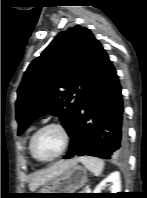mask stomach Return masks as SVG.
Wrapping results in <instances>:
<instances>
[{
  "label": "stomach",
  "mask_w": 147,
  "mask_h": 198,
  "mask_svg": "<svg viewBox=\"0 0 147 198\" xmlns=\"http://www.w3.org/2000/svg\"><path fill=\"white\" fill-rule=\"evenodd\" d=\"M87 183V170L79 165H74L62 174L46 183L38 192L44 198L61 197L60 194L42 193H74Z\"/></svg>",
  "instance_id": "0dacf381"
}]
</instances>
